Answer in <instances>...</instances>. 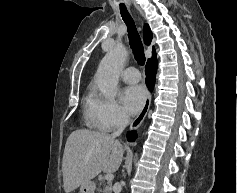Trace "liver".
Segmentation results:
<instances>
[{
	"label": "liver",
	"mask_w": 237,
	"mask_h": 193,
	"mask_svg": "<svg viewBox=\"0 0 237 193\" xmlns=\"http://www.w3.org/2000/svg\"><path fill=\"white\" fill-rule=\"evenodd\" d=\"M123 154L121 143L105 132L73 131L66 141L62 160L65 192H72L102 171H117Z\"/></svg>",
	"instance_id": "obj_1"
}]
</instances>
